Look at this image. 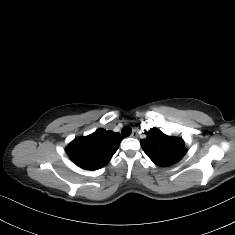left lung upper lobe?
Masks as SVG:
<instances>
[{
	"instance_id": "left-lung-upper-lobe-1",
	"label": "left lung upper lobe",
	"mask_w": 235,
	"mask_h": 235,
	"mask_svg": "<svg viewBox=\"0 0 235 235\" xmlns=\"http://www.w3.org/2000/svg\"><path fill=\"white\" fill-rule=\"evenodd\" d=\"M140 141L146 155L158 166L166 167L179 162L186 154L184 141L179 137L167 136L157 128L146 132Z\"/></svg>"
}]
</instances>
